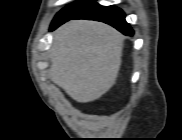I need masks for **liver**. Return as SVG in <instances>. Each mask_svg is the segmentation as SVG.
Instances as JSON below:
<instances>
[{
	"instance_id": "1",
	"label": "liver",
	"mask_w": 182,
	"mask_h": 140,
	"mask_svg": "<svg viewBox=\"0 0 182 140\" xmlns=\"http://www.w3.org/2000/svg\"><path fill=\"white\" fill-rule=\"evenodd\" d=\"M124 37L95 21H69L54 34L50 79L80 103L94 101L114 85Z\"/></svg>"
}]
</instances>
